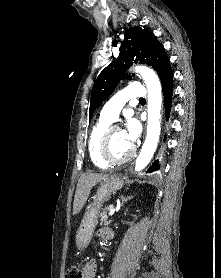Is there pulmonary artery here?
I'll return each mask as SVG.
<instances>
[{
	"label": "pulmonary artery",
	"mask_w": 221,
	"mask_h": 278,
	"mask_svg": "<svg viewBox=\"0 0 221 278\" xmlns=\"http://www.w3.org/2000/svg\"><path fill=\"white\" fill-rule=\"evenodd\" d=\"M145 95L146 91L144 87L132 83L112 97L103 106L100 115L101 117L113 122L118 118L121 109L129 99H140L144 98Z\"/></svg>",
	"instance_id": "e3ab8cb5"
}]
</instances>
